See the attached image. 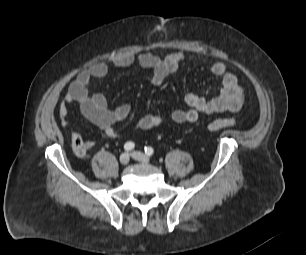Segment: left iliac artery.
Masks as SVG:
<instances>
[{
  "label": "left iliac artery",
  "instance_id": "44dca946",
  "mask_svg": "<svg viewBox=\"0 0 306 255\" xmlns=\"http://www.w3.org/2000/svg\"><path fill=\"white\" fill-rule=\"evenodd\" d=\"M145 154L148 156H151L154 154V149L150 146H147L144 148Z\"/></svg>",
  "mask_w": 306,
  "mask_h": 255
}]
</instances>
